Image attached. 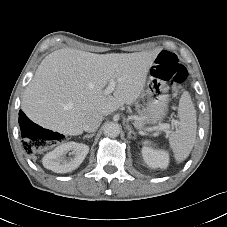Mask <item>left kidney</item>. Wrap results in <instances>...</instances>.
Here are the masks:
<instances>
[{"label": "left kidney", "mask_w": 227, "mask_h": 227, "mask_svg": "<svg viewBox=\"0 0 227 227\" xmlns=\"http://www.w3.org/2000/svg\"><path fill=\"white\" fill-rule=\"evenodd\" d=\"M142 157L144 162L151 168H167L169 155L163 150H154L150 147H143Z\"/></svg>", "instance_id": "5707ae66"}]
</instances>
